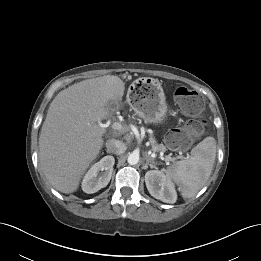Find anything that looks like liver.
Returning a JSON list of instances; mask_svg holds the SVG:
<instances>
[{"label": "liver", "mask_w": 261, "mask_h": 261, "mask_svg": "<svg viewBox=\"0 0 261 261\" xmlns=\"http://www.w3.org/2000/svg\"><path fill=\"white\" fill-rule=\"evenodd\" d=\"M124 82L106 75L76 83L51 102L39 136V161L48 182L62 193L75 192L103 146L108 102L121 101ZM129 131L125 126L122 132Z\"/></svg>", "instance_id": "6515ba94"}]
</instances>
